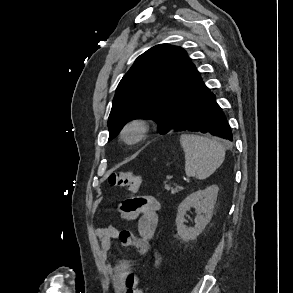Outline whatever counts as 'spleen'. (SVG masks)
I'll return each instance as SVG.
<instances>
[{"label":"spleen","mask_w":293,"mask_h":293,"mask_svg":"<svg viewBox=\"0 0 293 293\" xmlns=\"http://www.w3.org/2000/svg\"><path fill=\"white\" fill-rule=\"evenodd\" d=\"M180 143L185 153V173L204 180L224 162L225 147L215 139L194 134H182Z\"/></svg>","instance_id":"3e777b00"}]
</instances>
